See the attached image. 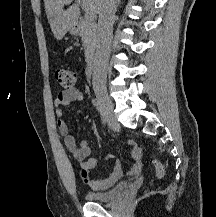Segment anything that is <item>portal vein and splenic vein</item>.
I'll list each match as a JSON object with an SVG mask.
<instances>
[{
	"instance_id": "1",
	"label": "portal vein and splenic vein",
	"mask_w": 216,
	"mask_h": 217,
	"mask_svg": "<svg viewBox=\"0 0 216 217\" xmlns=\"http://www.w3.org/2000/svg\"><path fill=\"white\" fill-rule=\"evenodd\" d=\"M71 2H72V0H69V3H71ZM85 19L89 20V21H93V19H94V13L91 12V11H86Z\"/></svg>"
}]
</instances>
